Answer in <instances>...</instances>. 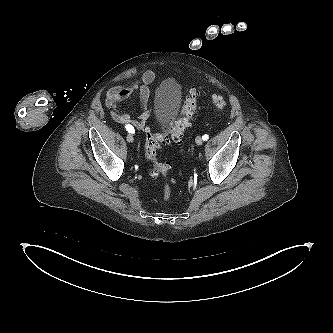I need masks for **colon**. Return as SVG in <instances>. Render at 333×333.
<instances>
[{
  "instance_id": "5ec220e1",
  "label": "colon",
  "mask_w": 333,
  "mask_h": 333,
  "mask_svg": "<svg viewBox=\"0 0 333 333\" xmlns=\"http://www.w3.org/2000/svg\"><path fill=\"white\" fill-rule=\"evenodd\" d=\"M200 91L191 89L184 100L181 117L177 119L170 128L165 132H155L146 130V142L144 145L145 157L151 164V176L154 178H162L165 182L163 190V198L168 199L171 195L172 185L175 179L169 177L168 172L171 168L169 162L160 163L157 161V153L162 145L167 142L180 143L183 134L187 130L190 122L194 119L198 111V98ZM214 108L222 111L226 108V100L218 94L210 95Z\"/></svg>"
}]
</instances>
